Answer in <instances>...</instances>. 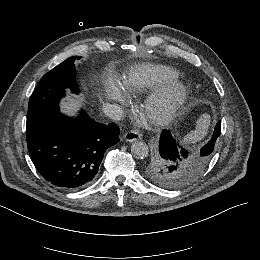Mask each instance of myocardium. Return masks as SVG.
<instances>
[{
    "label": "myocardium",
    "instance_id": "myocardium-1",
    "mask_svg": "<svg viewBox=\"0 0 260 260\" xmlns=\"http://www.w3.org/2000/svg\"><path fill=\"white\" fill-rule=\"evenodd\" d=\"M191 98L189 85L175 81L160 88L143 106V111L154 125L170 122L175 114L182 110Z\"/></svg>",
    "mask_w": 260,
    "mask_h": 260
}]
</instances>
